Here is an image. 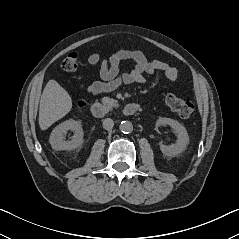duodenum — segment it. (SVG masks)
<instances>
[{"label": "duodenum", "instance_id": "410a0bca", "mask_svg": "<svg viewBox=\"0 0 239 239\" xmlns=\"http://www.w3.org/2000/svg\"><path fill=\"white\" fill-rule=\"evenodd\" d=\"M140 109L138 103H129L126 104L123 108V114L126 116H131L137 113ZM90 112L96 118H103L106 115V108L98 102H93L90 105Z\"/></svg>", "mask_w": 239, "mask_h": 239}]
</instances>
